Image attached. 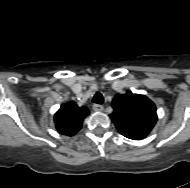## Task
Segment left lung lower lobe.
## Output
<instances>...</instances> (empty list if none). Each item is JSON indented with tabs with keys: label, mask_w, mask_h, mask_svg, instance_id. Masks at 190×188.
Listing matches in <instances>:
<instances>
[{
	"label": "left lung lower lobe",
	"mask_w": 190,
	"mask_h": 188,
	"mask_svg": "<svg viewBox=\"0 0 190 188\" xmlns=\"http://www.w3.org/2000/svg\"><path fill=\"white\" fill-rule=\"evenodd\" d=\"M121 134L124 135L125 137H127L129 139H133V140H141L146 137L144 135H140V134H136V133H132V132H123Z\"/></svg>",
	"instance_id": "0a47b994"
}]
</instances>
